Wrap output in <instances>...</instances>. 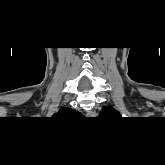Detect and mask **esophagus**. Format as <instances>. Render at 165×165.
I'll use <instances>...</instances> for the list:
<instances>
[{
    "label": "esophagus",
    "mask_w": 165,
    "mask_h": 165,
    "mask_svg": "<svg viewBox=\"0 0 165 165\" xmlns=\"http://www.w3.org/2000/svg\"><path fill=\"white\" fill-rule=\"evenodd\" d=\"M94 115H95L94 112H88V113H87V116H88V117H92V116H94Z\"/></svg>",
    "instance_id": "obj_1"
}]
</instances>
